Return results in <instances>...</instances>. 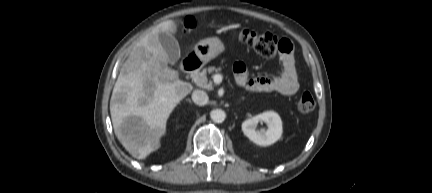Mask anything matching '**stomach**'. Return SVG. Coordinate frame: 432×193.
<instances>
[{
	"label": "stomach",
	"mask_w": 432,
	"mask_h": 193,
	"mask_svg": "<svg viewBox=\"0 0 432 193\" xmlns=\"http://www.w3.org/2000/svg\"><path fill=\"white\" fill-rule=\"evenodd\" d=\"M224 50L223 43L218 38H206L199 41L195 47V55L203 63H207L210 60L217 57Z\"/></svg>",
	"instance_id": "stomach-1"
}]
</instances>
